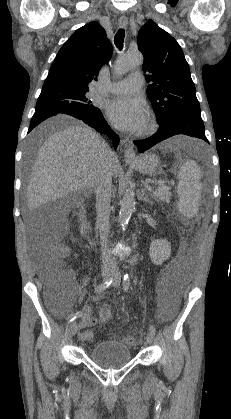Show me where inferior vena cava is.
Masks as SVG:
<instances>
[{
  "mask_svg": "<svg viewBox=\"0 0 231 419\" xmlns=\"http://www.w3.org/2000/svg\"><path fill=\"white\" fill-rule=\"evenodd\" d=\"M115 157L116 154L108 148L106 150L105 163L102 166L95 186L96 212L100 233L102 261L104 265L108 266L115 265L114 259L111 257L108 250L110 201L112 195V176L109 171L108 160H112Z\"/></svg>",
  "mask_w": 231,
  "mask_h": 419,
  "instance_id": "obj_1",
  "label": "inferior vena cava"
}]
</instances>
